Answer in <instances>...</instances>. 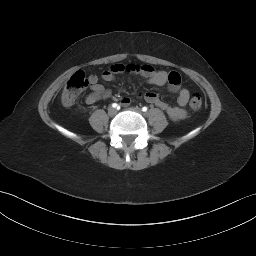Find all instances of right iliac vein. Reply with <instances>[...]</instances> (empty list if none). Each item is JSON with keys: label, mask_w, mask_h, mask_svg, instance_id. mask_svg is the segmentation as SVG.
I'll list each match as a JSON object with an SVG mask.
<instances>
[{"label": "right iliac vein", "mask_w": 256, "mask_h": 256, "mask_svg": "<svg viewBox=\"0 0 256 256\" xmlns=\"http://www.w3.org/2000/svg\"><path fill=\"white\" fill-rule=\"evenodd\" d=\"M116 113H117V110L115 108L111 107V108L108 109V115L109 116L113 117V116L116 115Z\"/></svg>", "instance_id": "right-iliac-vein-1"}]
</instances>
